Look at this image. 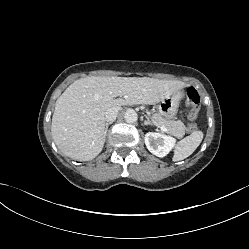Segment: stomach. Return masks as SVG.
Segmentation results:
<instances>
[{"mask_svg":"<svg viewBox=\"0 0 249 249\" xmlns=\"http://www.w3.org/2000/svg\"><path fill=\"white\" fill-rule=\"evenodd\" d=\"M179 93H172L164 98L158 105L159 114L166 120H174L179 107Z\"/></svg>","mask_w":249,"mask_h":249,"instance_id":"1","label":"stomach"}]
</instances>
